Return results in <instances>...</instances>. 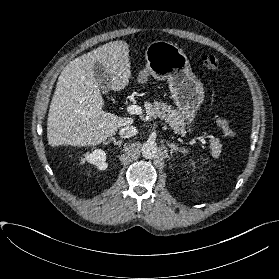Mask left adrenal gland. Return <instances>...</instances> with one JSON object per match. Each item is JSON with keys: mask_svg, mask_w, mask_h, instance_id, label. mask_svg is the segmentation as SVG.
<instances>
[{"mask_svg": "<svg viewBox=\"0 0 279 279\" xmlns=\"http://www.w3.org/2000/svg\"><path fill=\"white\" fill-rule=\"evenodd\" d=\"M167 145L168 147L171 149L170 150V153L172 154L173 152L175 151H179V152H182V153H186L187 152V149H185V147H178L176 144L174 143H169L167 142Z\"/></svg>", "mask_w": 279, "mask_h": 279, "instance_id": "left-adrenal-gland-1", "label": "left adrenal gland"}]
</instances>
